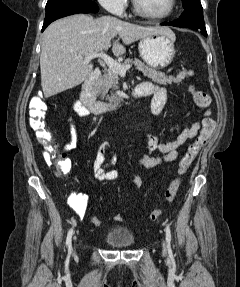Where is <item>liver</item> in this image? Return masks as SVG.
I'll return each instance as SVG.
<instances>
[{
  "instance_id": "1",
  "label": "liver",
  "mask_w": 240,
  "mask_h": 287,
  "mask_svg": "<svg viewBox=\"0 0 240 287\" xmlns=\"http://www.w3.org/2000/svg\"><path fill=\"white\" fill-rule=\"evenodd\" d=\"M173 33L165 26H142L112 16L94 19L90 15L76 14L50 24L43 33L40 70L41 86L46 98L81 84L91 73L93 64L85 63L92 53L107 51L117 35L123 44L153 34ZM113 53L122 55L126 49L118 40L113 42Z\"/></svg>"
}]
</instances>
